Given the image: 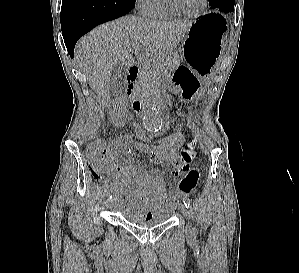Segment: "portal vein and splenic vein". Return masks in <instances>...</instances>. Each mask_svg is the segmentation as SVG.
I'll use <instances>...</instances> for the list:
<instances>
[{
    "label": "portal vein and splenic vein",
    "instance_id": "portal-vein-and-splenic-vein-1",
    "mask_svg": "<svg viewBox=\"0 0 299 273\" xmlns=\"http://www.w3.org/2000/svg\"><path fill=\"white\" fill-rule=\"evenodd\" d=\"M136 49H140V46L137 45V46H136ZM139 60H140V61H144V58H143V57H140Z\"/></svg>",
    "mask_w": 299,
    "mask_h": 273
}]
</instances>
